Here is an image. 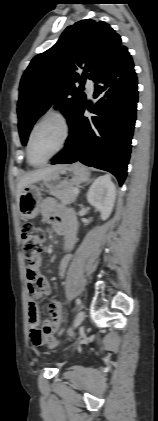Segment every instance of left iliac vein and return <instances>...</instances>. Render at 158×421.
I'll return each mask as SVG.
<instances>
[{"label": "left iliac vein", "mask_w": 158, "mask_h": 421, "mask_svg": "<svg viewBox=\"0 0 158 421\" xmlns=\"http://www.w3.org/2000/svg\"><path fill=\"white\" fill-rule=\"evenodd\" d=\"M84 318H85V312L83 310L79 311L75 318L73 328H77L83 322ZM72 334H73V330L70 331V335Z\"/></svg>", "instance_id": "1"}]
</instances>
